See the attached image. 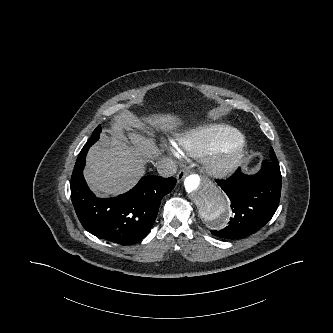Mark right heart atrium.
<instances>
[{
    "label": "right heart atrium",
    "instance_id": "obj_1",
    "mask_svg": "<svg viewBox=\"0 0 333 333\" xmlns=\"http://www.w3.org/2000/svg\"><path fill=\"white\" fill-rule=\"evenodd\" d=\"M165 151H166V154L171 157H174L177 159H179L181 157V153L178 150V148H176L175 146H173L171 144H168L165 146Z\"/></svg>",
    "mask_w": 333,
    "mask_h": 333
}]
</instances>
